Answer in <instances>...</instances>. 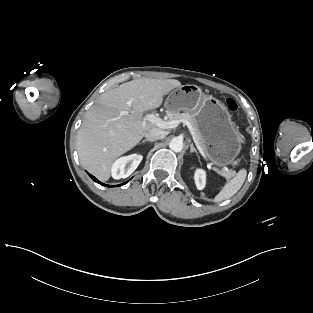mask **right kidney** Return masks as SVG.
Listing matches in <instances>:
<instances>
[{"mask_svg": "<svg viewBox=\"0 0 313 313\" xmlns=\"http://www.w3.org/2000/svg\"><path fill=\"white\" fill-rule=\"evenodd\" d=\"M142 158V155L132 154L117 159L111 168L112 177L114 179L127 178L136 170Z\"/></svg>", "mask_w": 313, "mask_h": 313, "instance_id": "ca27d5eb", "label": "right kidney"}]
</instances>
